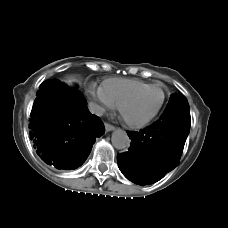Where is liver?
Here are the masks:
<instances>
[{"instance_id": "liver-1", "label": "liver", "mask_w": 228, "mask_h": 228, "mask_svg": "<svg viewBox=\"0 0 228 228\" xmlns=\"http://www.w3.org/2000/svg\"><path fill=\"white\" fill-rule=\"evenodd\" d=\"M73 80V78H68L67 81L68 82H71Z\"/></svg>"}]
</instances>
